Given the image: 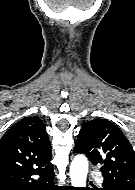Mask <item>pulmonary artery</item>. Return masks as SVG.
Here are the masks:
<instances>
[{"label":"pulmonary artery","mask_w":135,"mask_h":190,"mask_svg":"<svg viewBox=\"0 0 135 190\" xmlns=\"http://www.w3.org/2000/svg\"><path fill=\"white\" fill-rule=\"evenodd\" d=\"M91 174H92V176H93L99 183H102L103 179H102L101 175H100L98 172L93 171Z\"/></svg>","instance_id":"1"}]
</instances>
